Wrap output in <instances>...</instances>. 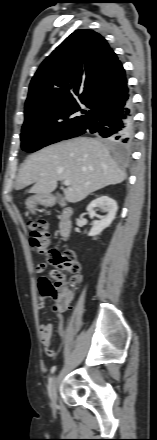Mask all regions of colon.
I'll list each match as a JSON object with an SVG mask.
<instances>
[{"label":"colon","instance_id":"obj_1","mask_svg":"<svg viewBox=\"0 0 157 440\" xmlns=\"http://www.w3.org/2000/svg\"><path fill=\"white\" fill-rule=\"evenodd\" d=\"M30 229L32 248L54 266L51 278H42L40 281L42 295L51 300L56 309L67 310L70 308L72 300V291L68 288L67 282H77L79 280L80 263L71 250L48 249L50 235L45 221H32Z\"/></svg>","mask_w":157,"mask_h":440}]
</instances>
